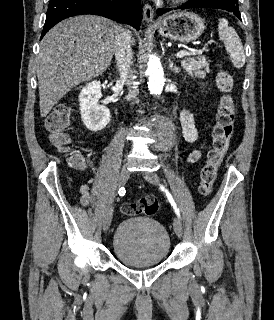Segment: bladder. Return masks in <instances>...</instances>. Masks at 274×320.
I'll return each mask as SVG.
<instances>
[{
  "instance_id": "bladder-1",
  "label": "bladder",
  "mask_w": 274,
  "mask_h": 320,
  "mask_svg": "<svg viewBox=\"0 0 274 320\" xmlns=\"http://www.w3.org/2000/svg\"><path fill=\"white\" fill-rule=\"evenodd\" d=\"M170 248L167 230L150 217L136 216L122 220L113 234L114 256L127 266L160 264L168 257Z\"/></svg>"
}]
</instances>
